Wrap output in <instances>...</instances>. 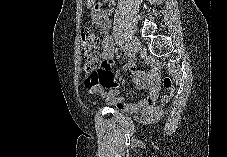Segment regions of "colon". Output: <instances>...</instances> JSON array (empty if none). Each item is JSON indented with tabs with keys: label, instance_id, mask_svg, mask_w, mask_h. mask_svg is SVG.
Returning a JSON list of instances; mask_svg holds the SVG:
<instances>
[{
	"label": "colon",
	"instance_id": "colon-1",
	"mask_svg": "<svg viewBox=\"0 0 227 157\" xmlns=\"http://www.w3.org/2000/svg\"><path fill=\"white\" fill-rule=\"evenodd\" d=\"M98 37L90 29H82L81 31V53L83 57V68L88 74L87 83L96 81L98 78L102 77L99 73L100 62L98 53ZM164 86L167 90L172 92L173 82L170 78L166 77L164 79ZM167 97L164 98V100Z\"/></svg>",
	"mask_w": 227,
	"mask_h": 157
}]
</instances>
